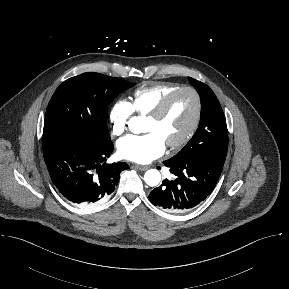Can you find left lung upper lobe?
I'll use <instances>...</instances> for the list:
<instances>
[{
  "instance_id": "1",
  "label": "left lung upper lobe",
  "mask_w": 289,
  "mask_h": 289,
  "mask_svg": "<svg viewBox=\"0 0 289 289\" xmlns=\"http://www.w3.org/2000/svg\"><path fill=\"white\" fill-rule=\"evenodd\" d=\"M201 98L200 124L195 135L174 157L175 161H187L201 155L225 156L228 149L226 119L213 91L204 83L188 78Z\"/></svg>"
}]
</instances>
